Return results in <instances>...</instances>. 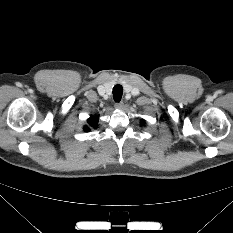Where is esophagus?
<instances>
[{
	"instance_id": "obj_1",
	"label": "esophagus",
	"mask_w": 233,
	"mask_h": 233,
	"mask_svg": "<svg viewBox=\"0 0 233 233\" xmlns=\"http://www.w3.org/2000/svg\"><path fill=\"white\" fill-rule=\"evenodd\" d=\"M123 106H124V103H123V102H117V103H115V108H116V109H122Z\"/></svg>"
}]
</instances>
